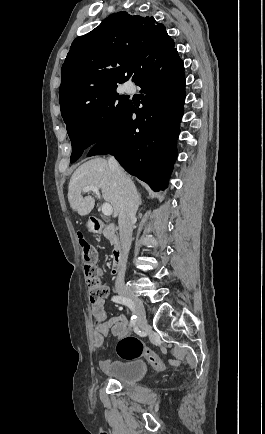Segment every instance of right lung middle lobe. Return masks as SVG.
<instances>
[{
    "label": "right lung middle lobe",
    "mask_w": 265,
    "mask_h": 434,
    "mask_svg": "<svg viewBox=\"0 0 265 434\" xmlns=\"http://www.w3.org/2000/svg\"><path fill=\"white\" fill-rule=\"evenodd\" d=\"M120 83L103 82L59 100L72 143L71 163L82 155L84 149L110 133L125 116L132 102L116 92Z\"/></svg>",
    "instance_id": "obj_1"
}]
</instances>
